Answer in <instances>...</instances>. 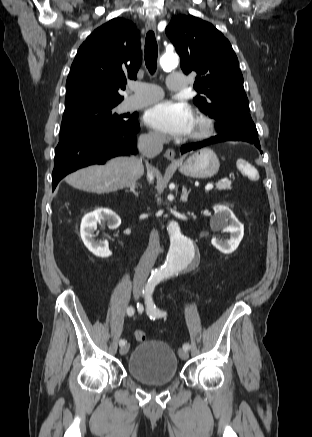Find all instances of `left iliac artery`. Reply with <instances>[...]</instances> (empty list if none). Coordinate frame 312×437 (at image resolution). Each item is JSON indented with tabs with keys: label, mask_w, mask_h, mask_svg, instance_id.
<instances>
[{
	"label": "left iliac artery",
	"mask_w": 312,
	"mask_h": 437,
	"mask_svg": "<svg viewBox=\"0 0 312 437\" xmlns=\"http://www.w3.org/2000/svg\"><path fill=\"white\" fill-rule=\"evenodd\" d=\"M159 281L160 280L158 278L151 277L148 280L147 285L145 286V290H143V294L145 295V299H146L147 314L149 315V317L151 319L166 316V312L157 308L152 300V293L154 291L155 286L159 283ZM189 348H190V345L188 343L183 344V349L189 350Z\"/></svg>",
	"instance_id": "1"
}]
</instances>
